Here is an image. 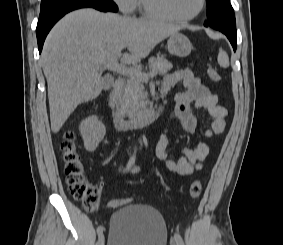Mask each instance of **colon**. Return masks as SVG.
<instances>
[{"label":"colon","mask_w":283,"mask_h":245,"mask_svg":"<svg viewBox=\"0 0 283 245\" xmlns=\"http://www.w3.org/2000/svg\"><path fill=\"white\" fill-rule=\"evenodd\" d=\"M207 74L211 81L218 83L222 77L219 71L212 66L207 67ZM75 134L73 131H67L64 134L61 144L63 170L66 176L71 196L82 204L85 210L92 211L98 203L97 189L89 184L83 174V164L75 146ZM202 193V184L200 181H193L189 188V194L192 198H198ZM128 203L124 199H109L107 206L109 208H118Z\"/></svg>","instance_id":"colon-1"}]
</instances>
